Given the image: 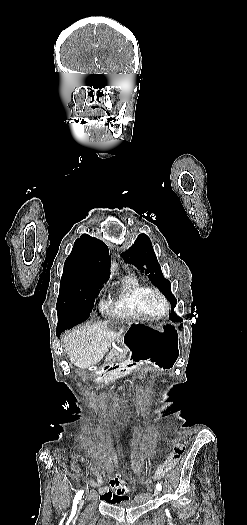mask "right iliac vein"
Segmentation results:
<instances>
[{"label": "right iliac vein", "mask_w": 247, "mask_h": 525, "mask_svg": "<svg viewBox=\"0 0 247 525\" xmlns=\"http://www.w3.org/2000/svg\"><path fill=\"white\" fill-rule=\"evenodd\" d=\"M83 503H84V499H82V500L80 501V503H79V508L82 507Z\"/></svg>", "instance_id": "obj_1"}]
</instances>
